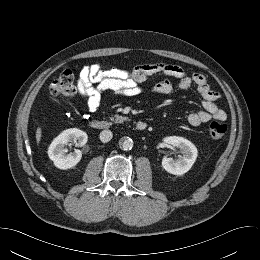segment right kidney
<instances>
[{"label": "right kidney", "mask_w": 260, "mask_h": 260, "mask_svg": "<svg viewBox=\"0 0 260 260\" xmlns=\"http://www.w3.org/2000/svg\"><path fill=\"white\" fill-rule=\"evenodd\" d=\"M87 134L77 128L64 130L50 144L48 148V156L53 161L54 165L59 169H70L77 165L82 158L80 150L68 152L66 146L69 143H75L77 146H84L87 143Z\"/></svg>", "instance_id": "1"}]
</instances>
